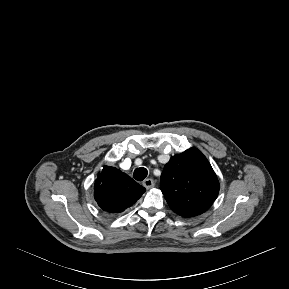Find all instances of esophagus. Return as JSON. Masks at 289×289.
I'll return each mask as SVG.
<instances>
[{"label":"esophagus","instance_id":"obj_1","mask_svg":"<svg viewBox=\"0 0 289 289\" xmlns=\"http://www.w3.org/2000/svg\"><path fill=\"white\" fill-rule=\"evenodd\" d=\"M143 186L146 188V189H150L152 187L155 186V182L153 179L151 178H147L143 181Z\"/></svg>","mask_w":289,"mask_h":289}]
</instances>
